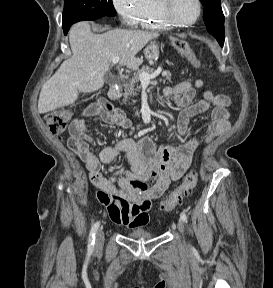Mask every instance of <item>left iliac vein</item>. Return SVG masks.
Returning a JSON list of instances; mask_svg holds the SVG:
<instances>
[{
    "label": "left iliac vein",
    "instance_id": "4c4485c4",
    "mask_svg": "<svg viewBox=\"0 0 273 288\" xmlns=\"http://www.w3.org/2000/svg\"><path fill=\"white\" fill-rule=\"evenodd\" d=\"M177 229L179 231V233L181 234L182 238H183V245H186V242L184 240V222L182 219H180L178 222H177Z\"/></svg>",
    "mask_w": 273,
    "mask_h": 288
}]
</instances>
